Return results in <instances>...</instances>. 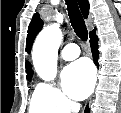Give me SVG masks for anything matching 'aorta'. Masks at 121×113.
Instances as JSON below:
<instances>
[{
    "instance_id": "762f6f07",
    "label": "aorta",
    "mask_w": 121,
    "mask_h": 113,
    "mask_svg": "<svg viewBox=\"0 0 121 113\" xmlns=\"http://www.w3.org/2000/svg\"><path fill=\"white\" fill-rule=\"evenodd\" d=\"M62 32L59 24L45 27L37 36L32 51L34 68L40 78L51 81L57 74L58 49Z\"/></svg>"
}]
</instances>
